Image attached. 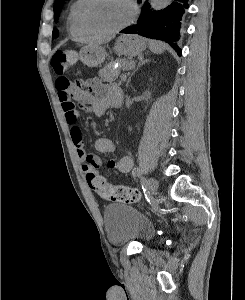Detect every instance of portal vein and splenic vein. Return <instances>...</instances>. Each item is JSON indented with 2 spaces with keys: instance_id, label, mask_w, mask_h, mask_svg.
<instances>
[{
  "instance_id": "1",
  "label": "portal vein and splenic vein",
  "mask_w": 245,
  "mask_h": 300,
  "mask_svg": "<svg viewBox=\"0 0 245 300\" xmlns=\"http://www.w3.org/2000/svg\"><path fill=\"white\" fill-rule=\"evenodd\" d=\"M132 66H134V62H131V63L128 65L127 69H128V68H131Z\"/></svg>"
}]
</instances>
